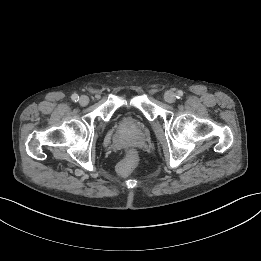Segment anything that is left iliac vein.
Masks as SVG:
<instances>
[{
	"mask_svg": "<svg viewBox=\"0 0 261 261\" xmlns=\"http://www.w3.org/2000/svg\"><path fill=\"white\" fill-rule=\"evenodd\" d=\"M164 99L167 103H174L176 101V95L172 91H167L164 95Z\"/></svg>",
	"mask_w": 261,
	"mask_h": 261,
	"instance_id": "4c4485c4",
	"label": "left iliac vein"
}]
</instances>
